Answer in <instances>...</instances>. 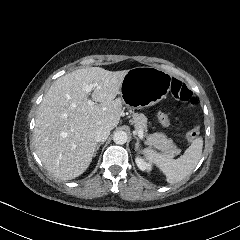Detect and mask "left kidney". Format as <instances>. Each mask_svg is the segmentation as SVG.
Wrapping results in <instances>:
<instances>
[{
  "mask_svg": "<svg viewBox=\"0 0 240 240\" xmlns=\"http://www.w3.org/2000/svg\"><path fill=\"white\" fill-rule=\"evenodd\" d=\"M135 163L137 165V167L143 171V172H147V173H152L154 171V165L152 162L147 161V159H145L144 157H142L141 155L137 154L134 158Z\"/></svg>",
  "mask_w": 240,
  "mask_h": 240,
  "instance_id": "1",
  "label": "left kidney"
}]
</instances>
